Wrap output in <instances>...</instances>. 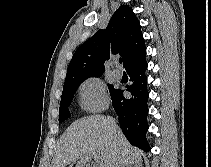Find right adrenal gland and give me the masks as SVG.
I'll use <instances>...</instances> for the list:
<instances>
[{"label":"right adrenal gland","instance_id":"1","mask_svg":"<svg viewBox=\"0 0 211 167\" xmlns=\"http://www.w3.org/2000/svg\"><path fill=\"white\" fill-rule=\"evenodd\" d=\"M126 167H138V165H137V164H129V165L126 166Z\"/></svg>","mask_w":211,"mask_h":167}]
</instances>
